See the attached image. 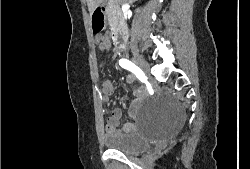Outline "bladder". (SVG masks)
I'll return each mask as SVG.
<instances>
[{
	"label": "bladder",
	"instance_id": "31cf9c89",
	"mask_svg": "<svg viewBox=\"0 0 250 169\" xmlns=\"http://www.w3.org/2000/svg\"><path fill=\"white\" fill-rule=\"evenodd\" d=\"M107 150H118L124 153L132 154L150 149L147 134L141 133H110L103 134Z\"/></svg>",
	"mask_w": 250,
	"mask_h": 169
}]
</instances>
